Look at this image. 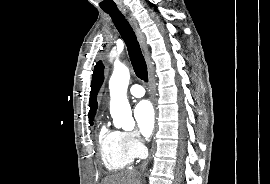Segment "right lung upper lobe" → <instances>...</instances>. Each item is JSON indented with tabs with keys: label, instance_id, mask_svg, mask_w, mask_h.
<instances>
[{
	"label": "right lung upper lobe",
	"instance_id": "cb5924a9",
	"mask_svg": "<svg viewBox=\"0 0 270 184\" xmlns=\"http://www.w3.org/2000/svg\"><path fill=\"white\" fill-rule=\"evenodd\" d=\"M103 70H104V66L102 62L99 61L94 68V73L92 76V88L90 92V102H89V107H90L89 121L94 120L96 109L98 107L96 96L104 80Z\"/></svg>",
	"mask_w": 270,
	"mask_h": 184
}]
</instances>
